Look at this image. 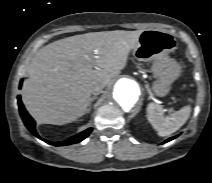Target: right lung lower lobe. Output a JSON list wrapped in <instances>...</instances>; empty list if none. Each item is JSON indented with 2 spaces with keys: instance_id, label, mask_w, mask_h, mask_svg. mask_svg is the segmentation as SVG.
I'll return each instance as SVG.
<instances>
[{
  "instance_id": "obj_1",
  "label": "right lung lower lobe",
  "mask_w": 212,
  "mask_h": 183,
  "mask_svg": "<svg viewBox=\"0 0 212 183\" xmlns=\"http://www.w3.org/2000/svg\"><path fill=\"white\" fill-rule=\"evenodd\" d=\"M22 84V81L20 82V86ZM18 105H19V110H20V115L23 119V122L25 124V126L30 130V132L32 134H34L36 137H38L39 139L54 145V146H65V145H70V144H74V143H78L81 142L82 140H84L92 131V128H88L87 130L65 140V141H61V142H50L47 140L42 139L38 133L36 132L35 129V121L32 119V117L27 113V111L25 110L22 101H21V97L18 96Z\"/></svg>"
}]
</instances>
